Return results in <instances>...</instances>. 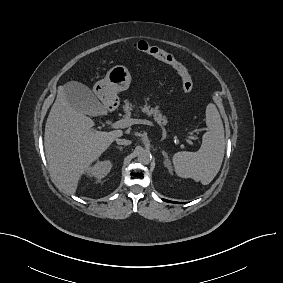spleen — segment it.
Segmentation results:
<instances>
[{
    "label": "spleen",
    "instance_id": "spleen-1",
    "mask_svg": "<svg viewBox=\"0 0 283 283\" xmlns=\"http://www.w3.org/2000/svg\"><path fill=\"white\" fill-rule=\"evenodd\" d=\"M208 131L202 137L197 152H177L173 156L175 172L179 177L192 178L203 185L209 184L219 172L224 153V127L220 114L213 103L206 107Z\"/></svg>",
    "mask_w": 283,
    "mask_h": 283
}]
</instances>
